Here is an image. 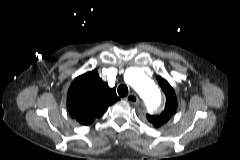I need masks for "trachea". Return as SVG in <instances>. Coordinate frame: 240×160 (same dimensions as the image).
I'll list each match as a JSON object with an SVG mask.
<instances>
[{"label": "trachea", "instance_id": "3493384b", "mask_svg": "<svg viewBox=\"0 0 240 160\" xmlns=\"http://www.w3.org/2000/svg\"><path fill=\"white\" fill-rule=\"evenodd\" d=\"M117 91L120 97H125L128 94V87L122 84L118 87Z\"/></svg>", "mask_w": 240, "mask_h": 160}]
</instances>
